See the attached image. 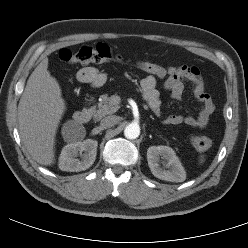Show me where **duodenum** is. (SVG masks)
Listing matches in <instances>:
<instances>
[{
  "mask_svg": "<svg viewBox=\"0 0 248 248\" xmlns=\"http://www.w3.org/2000/svg\"><path fill=\"white\" fill-rule=\"evenodd\" d=\"M91 117V113L89 111V109H82V110H79L77 111L73 118H74V121L78 124H85L89 121Z\"/></svg>",
  "mask_w": 248,
  "mask_h": 248,
  "instance_id": "410a0bca",
  "label": "duodenum"
}]
</instances>
